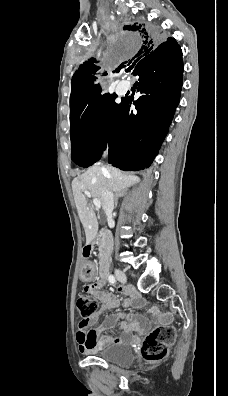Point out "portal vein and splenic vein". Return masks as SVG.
I'll list each match as a JSON object with an SVG mask.
<instances>
[{"label":"portal vein and splenic vein","instance_id":"portal-vein-and-splenic-vein-1","mask_svg":"<svg viewBox=\"0 0 228 396\" xmlns=\"http://www.w3.org/2000/svg\"><path fill=\"white\" fill-rule=\"evenodd\" d=\"M84 194H85L87 197H89V198L92 197L91 194H90V192H88V191H85ZM93 203H94V205H95L96 208H100V207H101V202H100V200H98V199H96V198H93Z\"/></svg>","mask_w":228,"mask_h":396}]
</instances>
